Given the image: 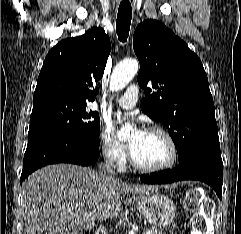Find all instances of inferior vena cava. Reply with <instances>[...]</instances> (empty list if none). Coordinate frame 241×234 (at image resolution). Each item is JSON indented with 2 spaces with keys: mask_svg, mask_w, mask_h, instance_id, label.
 I'll list each match as a JSON object with an SVG mask.
<instances>
[{
  "mask_svg": "<svg viewBox=\"0 0 241 234\" xmlns=\"http://www.w3.org/2000/svg\"><path fill=\"white\" fill-rule=\"evenodd\" d=\"M105 167H106V171L108 172V174L113 177L114 174H115V171L113 170V167H114L113 162L106 160ZM100 233L101 234H108L107 228L104 227V226H100L97 229L96 234H100Z\"/></svg>",
  "mask_w": 241,
  "mask_h": 234,
  "instance_id": "602c4592",
  "label": "inferior vena cava"
}]
</instances>
